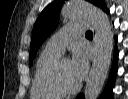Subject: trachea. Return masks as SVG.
I'll return each instance as SVG.
<instances>
[{"label": "trachea", "instance_id": "trachea-1", "mask_svg": "<svg viewBox=\"0 0 128 99\" xmlns=\"http://www.w3.org/2000/svg\"><path fill=\"white\" fill-rule=\"evenodd\" d=\"M86 35H92L93 36V33L89 30L86 32Z\"/></svg>", "mask_w": 128, "mask_h": 99}]
</instances>
